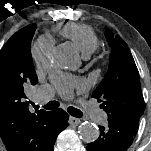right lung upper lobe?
<instances>
[{
  "instance_id": "right-lung-upper-lobe-1",
  "label": "right lung upper lobe",
  "mask_w": 151,
  "mask_h": 151,
  "mask_svg": "<svg viewBox=\"0 0 151 151\" xmlns=\"http://www.w3.org/2000/svg\"><path fill=\"white\" fill-rule=\"evenodd\" d=\"M29 78L26 86L0 83V135L8 151H49L51 143L46 125L51 112L29 110L26 89L35 85Z\"/></svg>"
}]
</instances>
